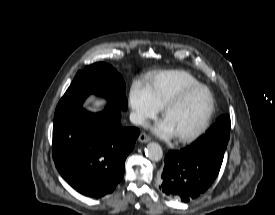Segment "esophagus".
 <instances>
[{
    "instance_id": "esophagus-1",
    "label": "esophagus",
    "mask_w": 275,
    "mask_h": 215,
    "mask_svg": "<svg viewBox=\"0 0 275 215\" xmlns=\"http://www.w3.org/2000/svg\"><path fill=\"white\" fill-rule=\"evenodd\" d=\"M138 140H139L141 143H147V142L150 141V137H149L146 133L142 132V133L139 135Z\"/></svg>"
}]
</instances>
